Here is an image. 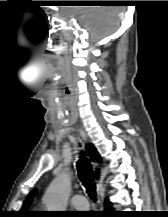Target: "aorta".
<instances>
[{
	"mask_svg": "<svg viewBox=\"0 0 168 217\" xmlns=\"http://www.w3.org/2000/svg\"><path fill=\"white\" fill-rule=\"evenodd\" d=\"M70 189V175L62 172L46 190L43 201L48 211H65Z\"/></svg>",
	"mask_w": 168,
	"mask_h": 217,
	"instance_id": "762f6f07",
	"label": "aorta"
}]
</instances>
